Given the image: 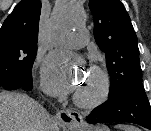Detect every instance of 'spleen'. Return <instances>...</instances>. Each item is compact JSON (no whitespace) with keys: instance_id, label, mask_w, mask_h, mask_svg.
I'll return each mask as SVG.
<instances>
[{"instance_id":"1","label":"spleen","mask_w":151,"mask_h":131,"mask_svg":"<svg viewBox=\"0 0 151 131\" xmlns=\"http://www.w3.org/2000/svg\"><path fill=\"white\" fill-rule=\"evenodd\" d=\"M118 128L122 131H139V129L129 125H118Z\"/></svg>"}]
</instances>
